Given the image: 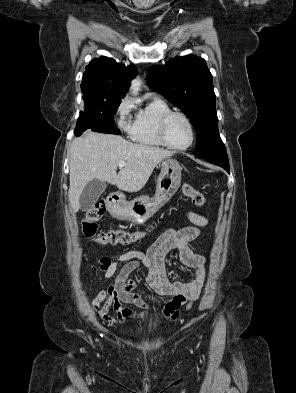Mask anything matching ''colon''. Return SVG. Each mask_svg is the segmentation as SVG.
Segmentation results:
<instances>
[{"label": "colon", "mask_w": 296, "mask_h": 393, "mask_svg": "<svg viewBox=\"0 0 296 393\" xmlns=\"http://www.w3.org/2000/svg\"><path fill=\"white\" fill-rule=\"evenodd\" d=\"M182 191L186 197L191 199L194 205L202 207L205 204V197L192 185L184 184ZM106 211L105 201H98L86 214L82 220V232L85 237L94 240L100 245H126L142 237L141 233L126 230H98V221L104 216Z\"/></svg>", "instance_id": "1"}]
</instances>
